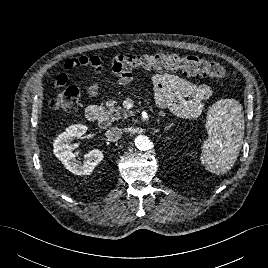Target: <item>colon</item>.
<instances>
[{
	"label": "colon",
	"instance_id": "colon-1",
	"mask_svg": "<svg viewBox=\"0 0 268 268\" xmlns=\"http://www.w3.org/2000/svg\"><path fill=\"white\" fill-rule=\"evenodd\" d=\"M114 69L141 68L147 70H180L185 76H203L225 79L227 72L219 63L199 58L195 55L177 53H157L153 55H133L123 53L113 60ZM80 91L70 86L49 100L53 109L74 112L78 108Z\"/></svg>",
	"mask_w": 268,
	"mask_h": 268
}]
</instances>
